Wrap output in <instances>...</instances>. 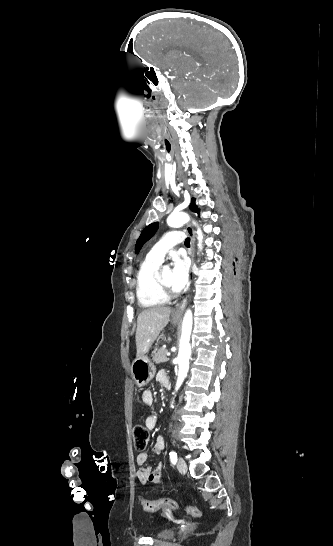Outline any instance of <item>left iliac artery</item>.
<instances>
[{
  "instance_id": "1",
  "label": "left iliac artery",
  "mask_w": 333,
  "mask_h": 546,
  "mask_svg": "<svg viewBox=\"0 0 333 546\" xmlns=\"http://www.w3.org/2000/svg\"><path fill=\"white\" fill-rule=\"evenodd\" d=\"M169 455H170V461H171V463H172V464H176V462H177V453H176L175 451H171V452L169 453Z\"/></svg>"
}]
</instances>
